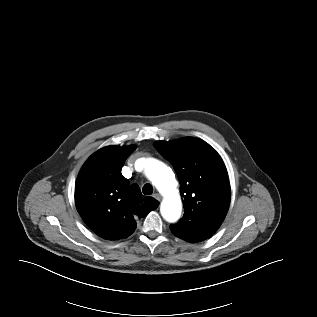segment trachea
Returning <instances> with one entry per match:
<instances>
[{
  "label": "trachea",
  "instance_id": "3493384b",
  "mask_svg": "<svg viewBox=\"0 0 317 317\" xmlns=\"http://www.w3.org/2000/svg\"><path fill=\"white\" fill-rule=\"evenodd\" d=\"M142 192L145 195H151L153 193V187L151 184H145L142 188Z\"/></svg>",
  "mask_w": 317,
  "mask_h": 317
}]
</instances>
